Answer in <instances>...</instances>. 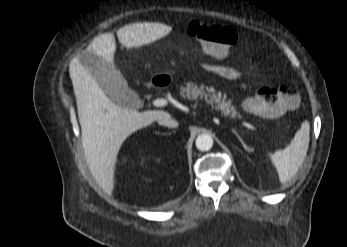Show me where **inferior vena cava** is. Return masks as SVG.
Listing matches in <instances>:
<instances>
[{
	"instance_id": "obj_1",
	"label": "inferior vena cava",
	"mask_w": 347,
	"mask_h": 247,
	"mask_svg": "<svg viewBox=\"0 0 347 247\" xmlns=\"http://www.w3.org/2000/svg\"><path fill=\"white\" fill-rule=\"evenodd\" d=\"M158 123L160 125L167 126L169 128H177L178 122L171 118L170 114L163 112L162 115L158 118Z\"/></svg>"
}]
</instances>
